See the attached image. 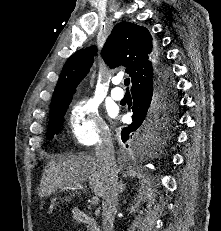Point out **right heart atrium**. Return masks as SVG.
<instances>
[{
	"instance_id": "right-heart-atrium-1",
	"label": "right heart atrium",
	"mask_w": 221,
	"mask_h": 231,
	"mask_svg": "<svg viewBox=\"0 0 221 231\" xmlns=\"http://www.w3.org/2000/svg\"><path fill=\"white\" fill-rule=\"evenodd\" d=\"M70 127L74 139L85 146L109 139V130L91 99H81L72 107Z\"/></svg>"
}]
</instances>
